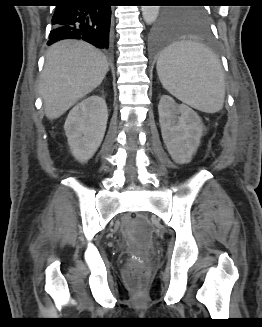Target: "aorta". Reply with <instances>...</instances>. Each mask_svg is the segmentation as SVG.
I'll use <instances>...</instances> for the list:
<instances>
[{
	"label": "aorta",
	"mask_w": 262,
	"mask_h": 327,
	"mask_svg": "<svg viewBox=\"0 0 262 327\" xmlns=\"http://www.w3.org/2000/svg\"><path fill=\"white\" fill-rule=\"evenodd\" d=\"M159 15L158 6H142V16L147 24L155 22Z\"/></svg>",
	"instance_id": "aorta-1"
}]
</instances>
